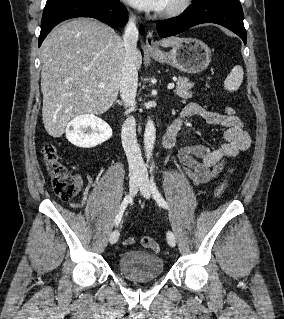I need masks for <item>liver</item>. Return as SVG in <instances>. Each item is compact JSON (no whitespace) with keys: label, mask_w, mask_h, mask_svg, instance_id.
Listing matches in <instances>:
<instances>
[{"label":"liver","mask_w":284,"mask_h":319,"mask_svg":"<svg viewBox=\"0 0 284 319\" xmlns=\"http://www.w3.org/2000/svg\"><path fill=\"white\" fill-rule=\"evenodd\" d=\"M181 38L160 43L173 46ZM125 50L122 38L108 25L79 18L56 27L41 45L42 119L49 135L60 137L67 123L82 114H102L120 89ZM136 68L142 54L137 50ZM99 83L105 87L100 88Z\"/></svg>","instance_id":"6515ba94"}]
</instances>
